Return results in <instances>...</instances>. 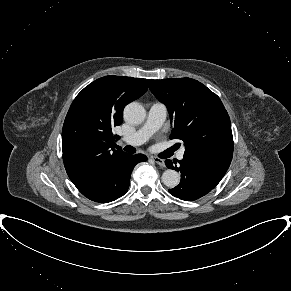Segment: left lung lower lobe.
<instances>
[{"label":"left lung lower lobe","mask_w":291,"mask_h":291,"mask_svg":"<svg viewBox=\"0 0 291 291\" xmlns=\"http://www.w3.org/2000/svg\"><path fill=\"white\" fill-rule=\"evenodd\" d=\"M233 152H185L179 166L171 160L165 164L181 173V182L169 193L182 200H197L209 193L223 178L230 166ZM175 163V162H174ZM176 164V163H175Z\"/></svg>","instance_id":"obj_1"}]
</instances>
